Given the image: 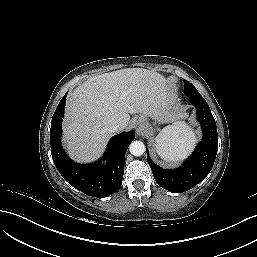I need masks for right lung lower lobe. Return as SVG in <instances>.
<instances>
[{
    "mask_svg": "<svg viewBox=\"0 0 257 257\" xmlns=\"http://www.w3.org/2000/svg\"><path fill=\"white\" fill-rule=\"evenodd\" d=\"M66 96L58 104L52 117L50 144L53 162L62 177L74 188L93 197H107L115 193L122 184L124 158L129 144L134 140L133 131L114 136L108 143L101 160L92 164H78L72 161L61 147V123L64 116Z\"/></svg>",
    "mask_w": 257,
    "mask_h": 257,
    "instance_id": "1",
    "label": "right lung lower lobe"
}]
</instances>
